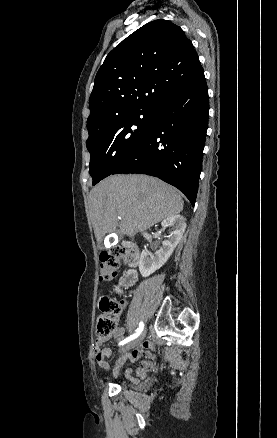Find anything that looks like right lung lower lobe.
I'll return each mask as SVG.
<instances>
[{
  "label": "right lung lower lobe",
  "mask_w": 277,
  "mask_h": 438,
  "mask_svg": "<svg viewBox=\"0 0 277 438\" xmlns=\"http://www.w3.org/2000/svg\"><path fill=\"white\" fill-rule=\"evenodd\" d=\"M208 98L204 73L163 96L155 105L144 140L113 174L158 177L177 187L194 205L208 127Z\"/></svg>",
  "instance_id": "1"
}]
</instances>
